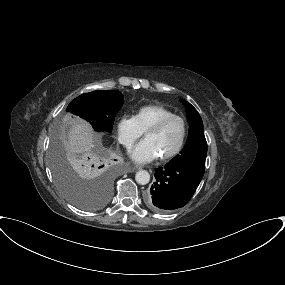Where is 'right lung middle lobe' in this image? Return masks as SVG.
<instances>
[{
	"instance_id": "dd1d6c3e",
	"label": "right lung middle lobe",
	"mask_w": 285,
	"mask_h": 285,
	"mask_svg": "<svg viewBox=\"0 0 285 285\" xmlns=\"http://www.w3.org/2000/svg\"><path fill=\"white\" fill-rule=\"evenodd\" d=\"M123 96L119 91H93L75 98L67 107V111L89 121L95 131H112L114 117L123 105ZM52 170L55 180L64 196L75 206L83 210L101 208L111 195V161L102 158L76 168L63 156L58 140H54L51 154ZM79 175L89 172L97 185L96 196H90L87 185L79 179ZM89 169H92L90 171Z\"/></svg>"
}]
</instances>
